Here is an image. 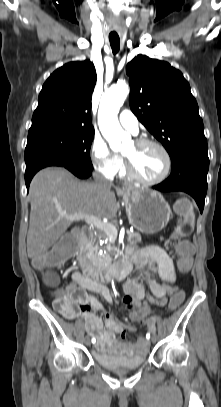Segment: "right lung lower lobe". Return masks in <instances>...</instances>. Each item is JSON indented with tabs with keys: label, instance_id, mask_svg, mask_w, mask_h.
I'll use <instances>...</instances> for the list:
<instances>
[{
	"label": "right lung lower lobe",
	"instance_id": "98d812e1",
	"mask_svg": "<svg viewBox=\"0 0 221 407\" xmlns=\"http://www.w3.org/2000/svg\"><path fill=\"white\" fill-rule=\"evenodd\" d=\"M48 166L65 167L66 169L71 171L74 175L82 179L88 178L92 174V170H85L79 166L69 163L68 161L58 156L44 155L37 157L26 164L25 183L28 190L30 182L33 176L36 174V172Z\"/></svg>",
	"mask_w": 221,
	"mask_h": 407
}]
</instances>
